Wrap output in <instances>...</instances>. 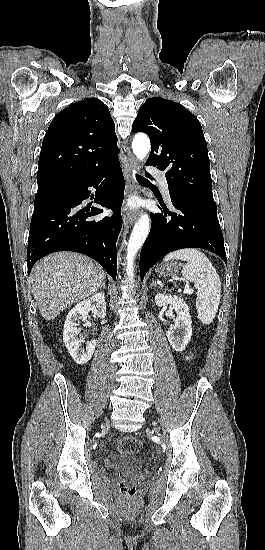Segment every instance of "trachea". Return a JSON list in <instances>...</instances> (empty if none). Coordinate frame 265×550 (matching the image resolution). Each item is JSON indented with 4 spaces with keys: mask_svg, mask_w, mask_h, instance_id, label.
<instances>
[{
    "mask_svg": "<svg viewBox=\"0 0 265 550\" xmlns=\"http://www.w3.org/2000/svg\"><path fill=\"white\" fill-rule=\"evenodd\" d=\"M136 179H137L139 182H148L147 179H145L144 177H142V176H140V175H138V174H136Z\"/></svg>",
    "mask_w": 265,
    "mask_h": 550,
    "instance_id": "3493384b",
    "label": "trachea"
}]
</instances>
